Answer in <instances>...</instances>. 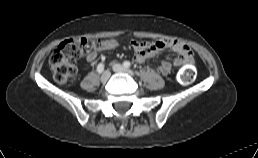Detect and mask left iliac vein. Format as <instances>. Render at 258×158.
<instances>
[{"mask_svg":"<svg viewBox=\"0 0 258 158\" xmlns=\"http://www.w3.org/2000/svg\"><path fill=\"white\" fill-rule=\"evenodd\" d=\"M113 70L115 72H122V73H126V74H129L131 76L134 75V72L130 69H127L126 67L122 66L121 64H113L112 66Z\"/></svg>","mask_w":258,"mask_h":158,"instance_id":"left-iliac-vein-1","label":"left iliac vein"}]
</instances>
